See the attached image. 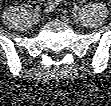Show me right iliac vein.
I'll return each instance as SVG.
<instances>
[{"label":"right iliac vein","mask_w":111,"mask_h":106,"mask_svg":"<svg viewBox=\"0 0 111 106\" xmlns=\"http://www.w3.org/2000/svg\"><path fill=\"white\" fill-rule=\"evenodd\" d=\"M40 20H41V17H40V15L39 14H34L33 15V17H32V22L34 23V24H38L39 22H40Z\"/></svg>","instance_id":"right-iliac-vein-1"}]
</instances>
